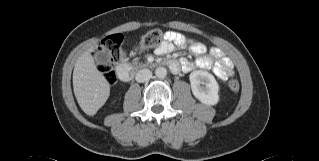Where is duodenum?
<instances>
[{
    "label": "duodenum",
    "instance_id": "1",
    "mask_svg": "<svg viewBox=\"0 0 319 161\" xmlns=\"http://www.w3.org/2000/svg\"><path fill=\"white\" fill-rule=\"evenodd\" d=\"M169 69L172 72H177L179 70V64L176 61H169L167 63ZM152 65L151 64H144V65H139V68H150ZM117 71V76L120 81L122 82H128L134 74V69L128 63H126L125 60H121L116 68Z\"/></svg>",
    "mask_w": 319,
    "mask_h": 161
}]
</instances>
